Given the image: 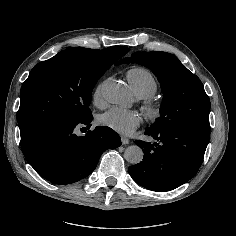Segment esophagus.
<instances>
[{
    "instance_id": "obj_1",
    "label": "esophagus",
    "mask_w": 236,
    "mask_h": 236,
    "mask_svg": "<svg viewBox=\"0 0 236 236\" xmlns=\"http://www.w3.org/2000/svg\"><path fill=\"white\" fill-rule=\"evenodd\" d=\"M121 141H122L123 145H126L129 143L128 138H126L125 136H121Z\"/></svg>"
}]
</instances>
